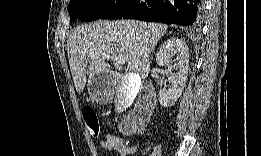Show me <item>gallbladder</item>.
<instances>
[{
    "label": "gallbladder",
    "mask_w": 261,
    "mask_h": 156,
    "mask_svg": "<svg viewBox=\"0 0 261 156\" xmlns=\"http://www.w3.org/2000/svg\"><path fill=\"white\" fill-rule=\"evenodd\" d=\"M126 75H123L120 79V83L122 85L117 91V98H114L116 101V104H114L115 113H122L127 110V108H130L128 106L131 105V102H134L136 95H138L137 92H139L140 85L142 82V79L139 75L134 73H125Z\"/></svg>",
    "instance_id": "obj_1"
}]
</instances>
